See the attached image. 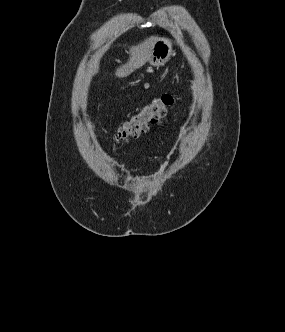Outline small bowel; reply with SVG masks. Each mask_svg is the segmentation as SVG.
<instances>
[{
	"label": "small bowel",
	"mask_w": 285,
	"mask_h": 332,
	"mask_svg": "<svg viewBox=\"0 0 285 332\" xmlns=\"http://www.w3.org/2000/svg\"><path fill=\"white\" fill-rule=\"evenodd\" d=\"M152 121L153 122H164L165 121V116L164 115H153L152 116Z\"/></svg>",
	"instance_id": "1"
}]
</instances>
